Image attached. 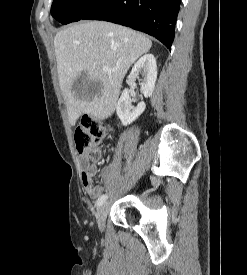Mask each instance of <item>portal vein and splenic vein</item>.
I'll use <instances>...</instances> for the list:
<instances>
[{
  "instance_id": "obj_1",
  "label": "portal vein and splenic vein",
  "mask_w": 247,
  "mask_h": 275,
  "mask_svg": "<svg viewBox=\"0 0 247 275\" xmlns=\"http://www.w3.org/2000/svg\"><path fill=\"white\" fill-rule=\"evenodd\" d=\"M102 69H103L104 72H108V73L114 71V69H110V68L107 67V66H103Z\"/></svg>"
}]
</instances>
